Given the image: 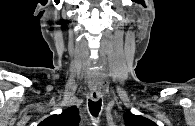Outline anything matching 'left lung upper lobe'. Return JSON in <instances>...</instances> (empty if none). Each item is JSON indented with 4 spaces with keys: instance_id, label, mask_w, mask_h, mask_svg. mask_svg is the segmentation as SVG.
<instances>
[{
    "instance_id": "1",
    "label": "left lung upper lobe",
    "mask_w": 195,
    "mask_h": 126,
    "mask_svg": "<svg viewBox=\"0 0 195 126\" xmlns=\"http://www.w3.org/2000/svg\"><path fill=\"white\" fill-rule=\"evenodd\" d=\"M125 126H157L153 121L131 112L124 114Z\"/></svg>"
}]
</instances>
